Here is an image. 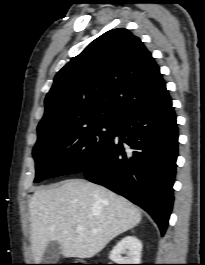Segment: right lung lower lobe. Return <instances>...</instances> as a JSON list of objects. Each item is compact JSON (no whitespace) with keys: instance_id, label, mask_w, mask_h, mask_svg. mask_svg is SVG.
<instances>
[{"instance_id":"obj_1","label":"right lung lower lobe","mask_w":205,"mask_h":265,"mask_svg":"<svg viewBox=\"0 0 205 265\" xmlns=\"http://www.w3.org/2000/svg\"><path fill=\"white\" fill-rule=\"evenodd\" d=\"M178 129L167 90L116 122L113 138L82 172L146 210L164 235L173 205Z\"/></svg>"}]
</instances>
